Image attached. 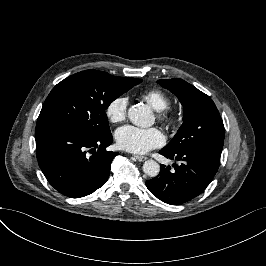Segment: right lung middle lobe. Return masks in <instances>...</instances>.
I'll list each match as a JSON object with an SVG mask.
<instances>
[{
	"label": "right lung middle lobe",
	"mask_w": 266,
	"mask_h": 266,
	"mask_svg": "<svg viewBox=\"0 0 266 266\" xmlns=\"http://www.w3.org/2000/svg\"><path fill=\"white\" fill-rule=\"evenodd\" d=\"M142 80L85 70L58 83L46 98L37 120L35 137L57 127L89 136L110 133L105 110L110 103Z\"/></svg>",
	"instance_id": "obj_1"
}]
</instances>
